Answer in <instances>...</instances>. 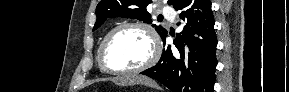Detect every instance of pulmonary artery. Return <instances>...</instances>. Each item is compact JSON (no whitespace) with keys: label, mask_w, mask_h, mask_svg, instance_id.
Wrapping results in <instances>:
<instances>
[{"label":"pulmonary artery","mask_w":289,"mask_h":92,"mask_svg":"<svg viewBox=\"0 0 289 92\" xmlns=\"http://www.w3.org/2000/svg\"><path fill=\"white\" fill-rule=\"evenodd\" d=\"M163 13L170 19H173V17H174V12L171 8L165 7L163 9Z\"/></svg>","instance_id":"e3ab8cb5"}]
</instances>
